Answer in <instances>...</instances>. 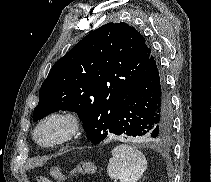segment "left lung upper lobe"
<instances>
[{"label": "left lung upper lobe", "instance_id": "1", "mask_svg": "<svg viewBox=\"0 0 211 182\" xmlns=\"http://www.w3.org/2000/svg\"><path fill=\"white\" fill-rule=\"evenodd\" d=\"M151 56L145 38L126 23H108L80 40L51 68L33 121L59 110L76 112L94 144L112 131L119 108Z\"/></svg>", "mask_w": 211, "mask_h": 182}]
</instances>
